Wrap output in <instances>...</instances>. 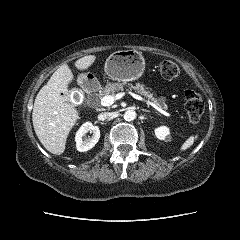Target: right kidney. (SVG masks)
Masks as SVG:
<instances>
[{
  "instance_id": "obj_1",
  "label": "right kidney",
  "mask_w": 240,
  "mask_h": 240,
  "mask_svg": "<svg viewBox=\"0 0 240 240\" xmlns=\"http://www.w3.org/2000/svg\"><path fill=\"white\" fill-rule=\"evenodd\" d=\"M93 133L92 137L89 139H83L84 135L87 133ZM100 130L98 126H94L91 122L84 123L76 133L75 141L76 148L79 152H85L90 150L99 141Z\"/></svg>"
}]
</instances>
